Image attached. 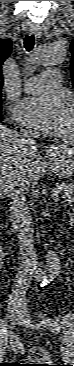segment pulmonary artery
<instances>
[{"label": "pulmonary artery", "instance_id": "e3ab8cb5", "mask_svg": "<svg viewBox=\"0 0 74 366\" xmlns=\"http://www.w3.org/2000/svg\"><path fill=\"white\" fill-rule=\"evenodd\" d=\"M62 74L58 69L47 70L43 74L29 78L23 83V89L28 93H39L60 84Z\"/></svg>", "mask_w": 74, "mask_h": 366}]
</instances>
